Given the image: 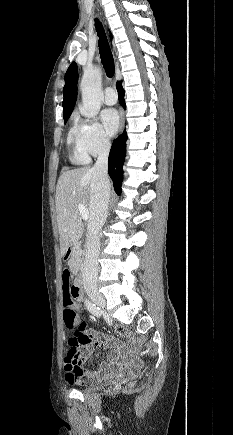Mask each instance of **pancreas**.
Here are the masks:
<instances>
[{"label": "pancreas", "mask_w": 233, "mask_h": 435, "mask_svg": "<svg viewBox=\"0 0 233 435\" xmlns=\"http://www.w3.org/2000/svg\"><path fill=\"white\" fill-rule=\"evenodd\" d=\"M83 259H84L83 252L80 249H76L73 251L72 256L68 262V265L72 269L77 270L78 268H80L82 266Z\"/></svg>", "instance_id": "cf45deb5"}]
</instances>
